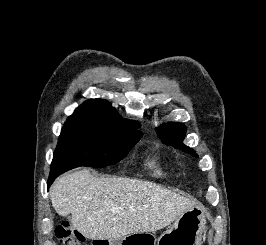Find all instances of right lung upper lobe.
Wrapping results in <instances>:
<instances>
[{
	"label": "right lung upper lobe",
	"mask_w": 266,
	"mask_h": 245,
	"mask_svg": "<svg viewBox=\"0 0 266 245\" xmlns=\"http://www.w3.org/2000/svg\"><path fill=\"white\" fill-rule=\"evenodd\" d=\"M70 117H90L108 120L121 125L141 126L138 122L119 117L116 110L105 100L90 99L77 108Z\"/></svg>",
	"instance_id": "1"
}]
</instances>
